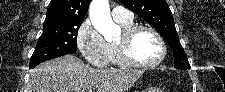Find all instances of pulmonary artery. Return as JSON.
<instances>
[{
  "label": "pulmonary artery",
  "mask_w": 225,
  "mask_h": 92,
  "mask_svg": "<svg viewBox=\"0 0 225 92\" xmlns=\"http://www.w3.org/2000/svg\"><path fill=\"white\" fill-rule=\"evenodd\" d=\"M112 17L116 22H132L133 14L122 6H115L112 9Z\"/></svg>",
  "instance_id": "obj_1"
}]
</instances>
